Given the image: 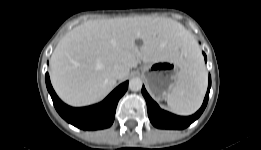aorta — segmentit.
Segmentation results:
<instances>
[{
	"label": "aorta",
	"instance_id": "aorta-1",
	"mask_svg": "<svg viewBox=\"0 0 261 150\" xmlns=\"http://www.w3.org/2000/svg\"><path fill=\"white\" fill-rule=\"evenodd\" d=\"M142 88V80L138 77L136 78H132L130 81H129V89L131 91H139L141 90Z\"/></svg>",
	"mask_w": 261,
	"mask_h": 150
}]
</instances>
